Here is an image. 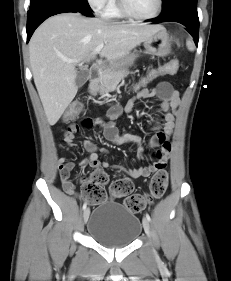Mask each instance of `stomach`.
I'll list each match as a JSON object with an SVG mask.
<instances>
[{"mask_svg":"<svg viewBox=\"0 0 231 281\" xmlns=\"http://www.w3.org/2000/svg\"><path fill=\"white\" fill-rule=\"evenodd\" d=\"M147 53L157 56H166L171 52V39L165 29L151 35L143 42ZM137 54L131 53L110 65V69H126L133 65Z\"/></svg>","mask_w":231,"mask_h":281,"instance_id":"1","label":"stomach"}]
</instances>
